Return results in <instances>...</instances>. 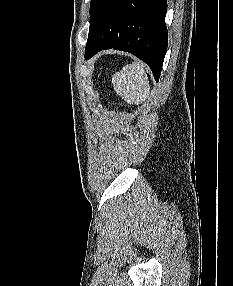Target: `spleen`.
<instances>
[{
    "instance_id": "obj_1",
    "label": "spleen",
    "mask_w": 233,
    "mask_h": 286,
    "mask_svg": "<svg viewBox=\"0 0 233 286\" xmlns=\"http://www.w3.org/2000/svg\"><path fill=\"white\" fill-rule=\"evenodd\" d=\"M112 84L116 93L131 105L141 104L150 93L146 65L137 60L116 72L112 77Z\"/></svg>"
}]
</instances>
